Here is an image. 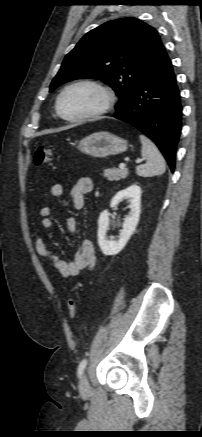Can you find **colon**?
I'll use <instances>...</instances> for the list:
<instances>
[{
  "label": "colon",
  "mask_w": 202,
  "mask_h": 437,
  "mask_svg": "<svg viewBox=\"0 0 202 437\" xmlns=\"http://www.w3.org/2000/svg\"><path fill=\"white\" fill-rule=\"evenodd\" d=\"M54 158V149L47 147H37L33 157V163L35 166H41L49 163ZM68 313L70 318H74L77 313V303L74 298H70L68 301Z\"/></svg>",
  "instance_id": "5ec220e1"
}]
</instances>
